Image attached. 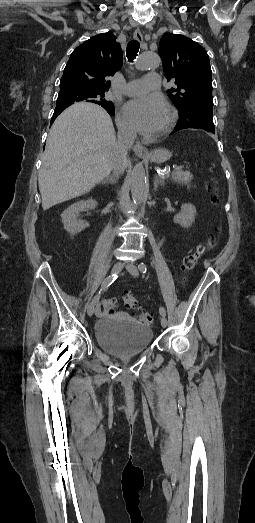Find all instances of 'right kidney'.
<instances>
[{
    "mask_svg": "<svg viewBox=\"0 0 255 523\" xmlns=\"http://www.w3.org/2000/svg\"><path fill=\"white\" fill-rule=\"evenodd\" d=\"M96 206L97 202L96 200H92V198H90V200H81V202H76V204L69 206V208L61 214L66 232H69V234H73L74 236V234L82 232L84 228H88V222H78L76 216L78 212H84L86 208H96Z\"/></svg>",
    "mask_w": 255,
    "mask_h": 523,
    "instance_id": "1",
    "label": "right kidney"
}]
</instances>
